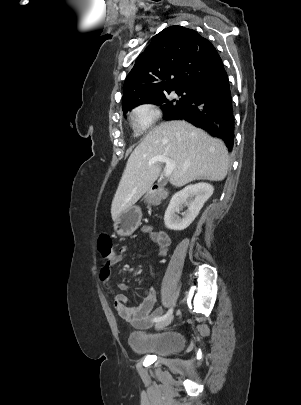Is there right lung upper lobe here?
Listing matches in <instances>:
<instances>
[{"mask_svg":"<svg viewBox=\"0 0 301 405\" xmlns=\"http://www.w3.org/2000/svg\"><path fill=\"white\" fill-rule=\"evenodd\" d=\"M225 69L215 47L195 30L170 26L154 36L139 55L124 83L123 110L147 97L173 89L196 92L214 82Z\"/></svg>","mask_w":301,"mask_h":405,"instance_id":"obj_1","label":"right lung upper lobe"}]
</instances>
